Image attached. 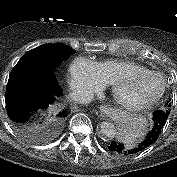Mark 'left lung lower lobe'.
Returning a JSON list of instances; mask_svg holds the SVG:
<instances>
[{
	"label": "left lung lower lobe",
	"mask_w": 177,
	"mask_h": 177,
	"mask_svg": "<svg viewBox=\"0 0 177 177\" xmlns=\"http://www.w3.org/2000/svg\"><path fill=\"white\" fill-rule=\"evenodd\" d=\"M170 114V111L165 110H159L153 112V120L154 125L152 130L148 133L146 138L140 142L139 144L133 146V147H127L126 145L112 141L110 146L108 147L111 151L119 153V154H134L141 152L145 150L147 147H149L151 144L157 141L166 121L168 118V115Z\"/></svg>",
	"instance_id": "left-lung-lower-lobe-1"
}]
</instances>
